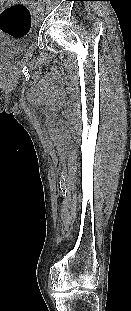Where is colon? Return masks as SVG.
Wrapping results in <instances>:
<instances>
[{
  "label": "colon",
  "mask_w": 131,
  "mask_h": 311,
  "mask_svg": "<svg viewBox=\"0 0 131 311\" xmlns=\"http://www.w3.org/2000/svg\"><path fill=\"white\" fill-rule=\"evenodd\" d=\"M31 26L30 10L23 4L7 6L0 12V30L10 37H24Z\"/></svg>",
  "instance_id": "1"
}]
</instances>
